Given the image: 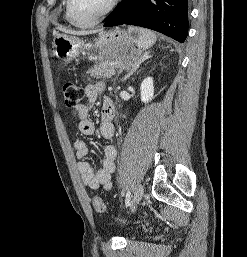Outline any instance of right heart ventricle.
I'll return each instance as SVG.
<instances>
[{
	"label": "right heart ventricle",
	"mask_w": 247,
	"mask_h": 257,
	"mask_svg": "<svg viewBox=\"0 0 247 257\" xmlns=\"http://www.w3.org/2000/svg\"><path fill=\"white\" fill-rule=\"evenodd\" d=\"M63 4H64V7H65V10H64V19L68 22H71L70 19H69V16H68V13H67V9H66V0H63ZM72 23V22H71Z\"/></svg>",
	"instance_id": "1"
}]
</instances>
